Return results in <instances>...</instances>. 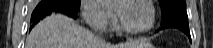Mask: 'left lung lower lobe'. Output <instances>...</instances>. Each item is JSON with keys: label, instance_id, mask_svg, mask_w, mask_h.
<instances>
[{"label": "left lung lower lobe", "instance_id": "0a47b994", "mask_svg": "<svg viewBox=\"0 0 213 48\" xmlns=\"http://www.w3.org/2000/svg\"><path fill=\"white\" fill-rule=\"evenodd\" d=\"M165 28H177V29H180L191 40L189 26H188V20H180V19H175V18H168L166 20H163V23L161 25V28H159V30L165 29Z\"/></svg>", "mask_w": 213, "mask_h": 48}]
</instances>
